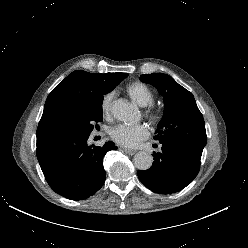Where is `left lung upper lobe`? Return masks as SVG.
I'll return each instance as SVG.
<instances>
[{"mask_svg": "<svg viewBox=\"0 0 248 248\" xmlns=\"http://www.w3.org/2000/svg\"><path fill=\"white\" fill-rule=\"evenodd\" d=\"M140 80L156 87L164 98V114L154 139L161 144L183 145L201 156L207 136L203 116L192 93L167 74H144Z\"/></svg>", "mask_w": 248, "mask_h": 248, "instance_id": "left-lung-upper-lobe-1", "label": "left lung upper lobe"}]
</instances>
